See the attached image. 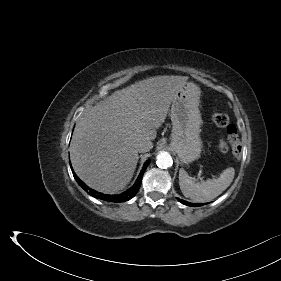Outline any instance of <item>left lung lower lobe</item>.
<instances>
[{"label": "left lung lower lobe", "mask_w": 281, "mask_h": 281, "mask_svg": "<svg viewBox=\"0 0 281 281\" xmlns=\"http://www.w3.org/2000/svg\"><path fill=\"white\" fill-rule=\"evenodd\" d=\"M178 200H179L181 203H183V204H185V205H188V206H192V207L202 206V205H203V204H193V203H189V202L184 201V200H181V199H179V198H178Z\"/></svg>", "instance_id": "1"}]
</instances>
